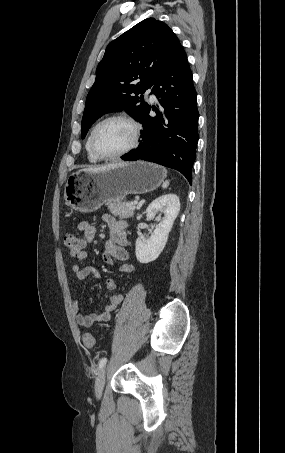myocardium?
Wrapping results in <instances>:
<instances>
[{"label":"myocardium","instance_id":"obj_1","mask_svg":"<svg viewBox=\"0 0 285 453\" xmlns=\"http://www.w3.org/2000/svg\"><path fill=\"white\" fill-rule=\"evenodd\" d=\"M111 120H124L127 123H129L131 125V127L133 128V139H132V142L130 143V145L128 147H126L125 149H123L122 151L114 153V154H110V155H105V154L100 153L97 150L96 145H95V138H96V134H97L99 128L104 123L111 121ZM141 134H142V126L137 119H135L133 116H131L127 113H124V112L114 113V114H111V115L103 118L101 121H99L94 126V128L91 132V136H90V148H91L92 153L100 160L117 159V158L127 155L128 153L133 151L139 145L140 139H141Z\"/></svg>","mask_w":285,"mask_h":453}]
</instances>
